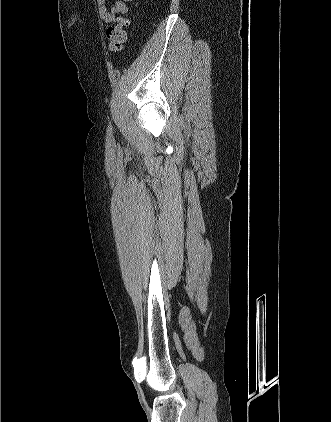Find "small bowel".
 I'll return each mask as SVG.
<instances>
[{
  "instance_id": "obj_1",
  "label": "small bowel",
  "mask_w": 331,
  "mask_h": 422,
  "mask_svg": "<svg viewBox=\"0 0 331 422\" xmlns=\"http://www.w3.org/2000/svg\"><path fill=\"white\" fill-rule=\"evenodd\" d=\"M99 16L106 24H112L116 21L119 14L126 13L128 6L125 1L115 0L111 7L107 6V0H96Z\"/></svg>"
}]
</instances>
